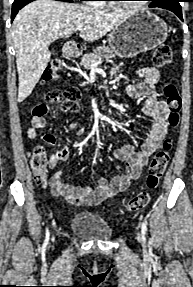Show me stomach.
I'll use <instances>...</instances> for the list:
<instances>
[{
    "instance_id": "stomach-1",
    "label": "stomach",
    "mask_w": 193,
    "mask_h": 287,
    "mask_svg": "<svg viewBox=\"0 0 193 287\" xmlns=\"http://www.w3.org/2000/svg\"><path fill=\"white\" fill-rule=\"evenodd\" d=\"M168 36L167 25L157 15L139 10L111 31L108 43L121 58H133L161 45Z\"/></svg>"
}]
</instances>
